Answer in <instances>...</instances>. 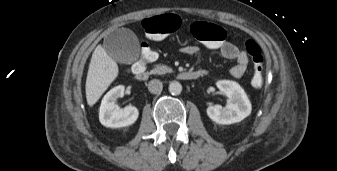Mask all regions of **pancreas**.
Instances as JSON below:
<instances>
[{
	"instance_id": "1",
	"label": "pancreas",
	"mask_w": 337,
	"mask_h": 171,
	"mask_svg": "<svg viewBox=\"0 0 337 171\" xmlns=\"http://www.w3.org/2000/svg\"><path fill=\"white\" fill-rule=\"evenodd\" d=\"M172 68L166 66V65H156L155 68L152 70V73L155 74H166V73H172Z\"/></svg>"
}]
</instances>
